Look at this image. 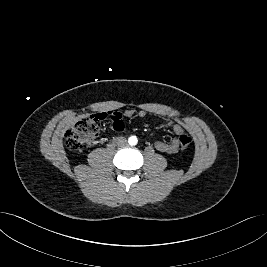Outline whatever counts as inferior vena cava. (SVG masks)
Listing matches in <instances>:
<instances>
[{
    "mask_svg": "<svg viewBox=\"0 0 267 267\" xmlns=\"http://www.w3.org/2000/svg\"><path fill=\"white\" fill-rule=\"evenodd\" d=\"M126 142H127V140H126V138H124V137H117V139H116V143H117V145H119V146H123V145H125Z\"/></svg>",
    "mask_w": 267,
    "mask_h": 267,
    "instance_id": "1",
    "label": "inferior vena cava"
}]
</instances>
